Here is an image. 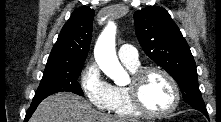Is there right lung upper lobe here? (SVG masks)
<instances>
[{
    "label": "right lung upper lobe",
    "instance_id": "cb5924a9",
    "mask_svg": "<svg viewBox=\"0 0 221 122\" xmlns=\"http://www.w3.org/2000/svg\"><path fill=\"white\" fill-rule=\"evenodd\" d=\"M94 10L89 7L76 9L63 26L52 48L47 64L84 63L92 38Z\"/></svg>",
    "mask_w": 221,
    "mask_h": 122
}]
</instances>
